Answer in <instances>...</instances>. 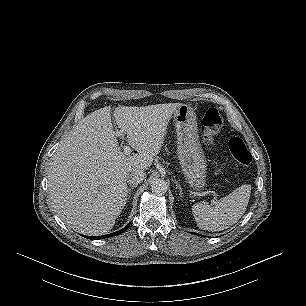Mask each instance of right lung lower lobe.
<instances>
[{"label":"right lung lower lobe","mask_w":306,"mask_h":306,"mask_svg":"<svg viewBox=\"0 0 306 306\" xmlns=\"http://www.w3.org/2000/svg\"><path fill=\"white\" fill-rule=\"evenodd\" d=\"M129 225H127L125 228L117 231V232H114V233H111V234H108V235H103V236H84L86 238H89V239H103V238H107V237H112V236H115V235H118L124 231H126L128 229Z\"/></svg>","instance_id":"1"}]
</instances>
